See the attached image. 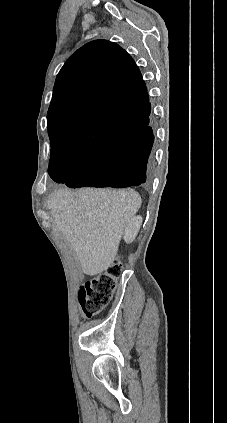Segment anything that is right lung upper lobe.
<instances>
[{
  "instance_id": "cb5924a9",
  "label": "right lung upper lobe",
  "mask_w": 227,
  "mask_h": 423,
  "mask_svg": "<svg viewBox=\"0 0 227 423\" xmlns=\"http://www.w3.org/2000/svg\"><path fill=\"white\" fill-rule=\"evenodd\" d=\"M147 96L142 75L124 49L106 40L89 42L57 75L47 113L51 143L88 153L121 140L132 125L125 120H109L99 109Z\"/></svg>"
}]
</instances>
